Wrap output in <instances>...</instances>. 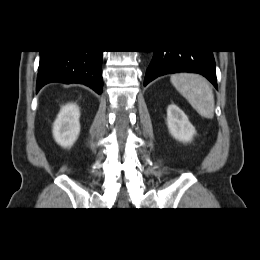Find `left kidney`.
Segmentation results:
<instances>
[{
  "instance_id": "5707ae66",
  "label": "left kidney",
  "mask_w": 260,
  "mask_h": 260,
  "mask_svg": "<svg viewBox=\"0 0 260 260\" xmlns=\"http://www.w3.org/2000/svg\"><path fill=\"white\" fill-rule=\"evenodd\" d=\"M167 125L171 135L181 142L191 141L196 133L185 113L174 104L167 108Z\"/></svg>"
}]
</instances>
